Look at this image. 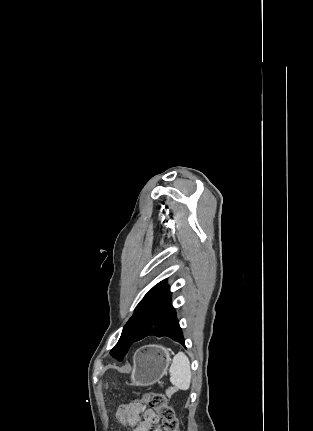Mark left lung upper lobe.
<instances>
[{"label": "left lung upper lobe", "instance_id": "1", "mask_svg": "<svg viewBox=\"0 0 313 431\" xmlns=\"http://www.w3.org/2000/svg\"><path fill=\"white\" fill-rule=\"evenodd\" d=\"M166 281L165 279L155 285L139 302L134 314L125 324L118 343L110 352L114 358L121 361L145 324L171 302V293Z\"/></svg>", "mask_w": 313, "mask_h": 431}]
</instances>
